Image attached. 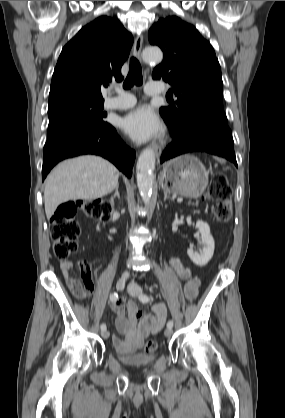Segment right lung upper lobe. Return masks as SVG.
Masks as SVG:
<instances>
[{
  "label": "right lung upper lobe",
  "mask_w": 285,
  "mask_h": 418,
  "mask_svg": "<svg viewBox=\"0 0 285 418\" xmlns=\"http://www.w3.org/2000/svg\"><path fill=\"white\" fill-rule=\"evenodd\" d=\"M132 44V35L114 18L101 16L83 27L62 49L49 105L75 100L104 102L100 87L123 79L121 66Z\"/></svg>",
  "instance_id": "obj_1"
}]
</instances>
